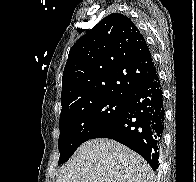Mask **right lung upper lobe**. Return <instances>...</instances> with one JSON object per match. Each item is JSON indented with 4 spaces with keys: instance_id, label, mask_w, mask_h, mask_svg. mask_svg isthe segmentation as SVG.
Segmentation results:
<instances>
[{
    "instance_id": "obj_1",
    "label": "right lung upper lobe",
    "mask_w": 196,
    "mask_h": 182,
    "mask_svg": "<svg viewBox=\"0 0 196 182\" xmlns=\"http://www.w3.org/2000/svg\"><path fill=\"white\" fill-rule=\"evenodd\" d=\"M155 68L147 43L130 18H103L70 49L61 112L100 97L128 98Z\"/></svg>"
}]
</instances>
